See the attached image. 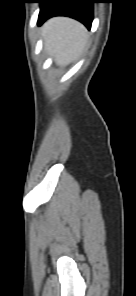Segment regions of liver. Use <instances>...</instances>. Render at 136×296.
<instances>
[{
    "label": "liver",
    "instance_id": "obj_1",
    "mask_svg": "<svg viewBox=\"0 0 136 296\" xmlns=\"http://www.w3.org/2000/svg\"><path fill=\"white\" fill-rule=\"evenodd\" d=\"M46 52L54 57L59 66H65L83 51L87 32L85 27L67 17H54L42 27Z\"/></svg>",
    "mask_w": 136,
    "mask_h": 296
}]
</instances>
